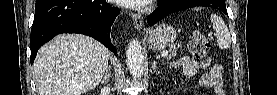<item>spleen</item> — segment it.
Masks as SVG:
<instances>
[{
  "label": "spleen",
  "instance_id": "1",
  "mask_svg": "<svg viewBox=\"0 0 277 95\" xmlns=\"http://www.w3.org/2000/svg\"><path fill=\"white\" fill-rule=\"evenodd\" d=\"M211 22L213 24V29L216 32L217 44L219 48L222 50L230 48L231 37L224 21L219 16L212 14Z\"/></svg>",
  "mask_w": 277,
  "mask_h": 95
}]
</instances>
